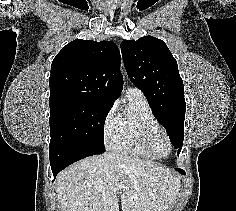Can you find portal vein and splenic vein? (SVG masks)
Here are the masks:
<instances>
[{
    "mask_svg": "<svg viewBox=\"0 0 236 211\" xmlns=\"http://www.w3.org/2000/svg\"><path fill=\"white\" fill-rule=\"evenodd\" d=\"M120 188H122V185H117V189L119 190Z\"/></svg>",
    "mask_w": 236,
    "mask_h": 211,
    "instance_id": "1",
    "label": "portal vein and splenic vein"
}]
</instances>
